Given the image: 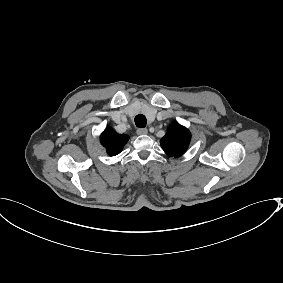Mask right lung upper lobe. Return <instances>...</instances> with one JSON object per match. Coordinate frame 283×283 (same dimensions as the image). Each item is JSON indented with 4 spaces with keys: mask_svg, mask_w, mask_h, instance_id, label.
I'll return each mask as SVG.
<instances>
[{
    "mask_svg": "<svg viewBox=\"0 0 283 283\" xmlns=\"http://www.w3.org/2000/svg\"><path fill=\"white\" fill-rule=\"evenodd\" d=\"M129 137L125 134H117L110 127H107L101 134V143L107 149L110 156L119 154Z\"/></svg>",
    "mask_w": 283,
    "mask_h": 283,
    "instance_id": "obj_1",
    "label": "right lung upper lobe"
}]
</instances>
